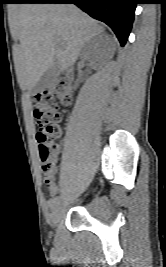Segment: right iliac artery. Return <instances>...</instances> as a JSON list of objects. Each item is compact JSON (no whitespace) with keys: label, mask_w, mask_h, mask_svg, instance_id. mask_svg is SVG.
Masks as SVG:
<instances>
[{"label":"right iliac artery","mask_w":166,"mask_h":267,"mask_svg":"<svg viewBox=\"0 0 166 267\" xmlns=\"http://www.w3.org/2000/svg\"><path fill=\"white\" fill-rule=\"evenodd\" d=\"M60 197H55L54 199L51 200L50 205L51 209H55L56 206L59 204Z\"/></svg>","instance_id":"right-iliac-artery-1"}]
</instances>
